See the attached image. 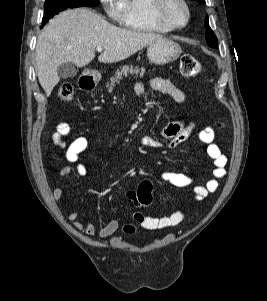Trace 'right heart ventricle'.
Wrapping results in <instances>:
<instances>
[{
    "label": "right heart ventricle",
    "mask_w": 267,
    "mask_h": 301,
    "mask_svg": "<svg viewBox=\"0 0 267 301\" xmlns=\"http://www.w3.org/2000/svg\"><path fill=\"white\" fill-rule=\"evenodd\" d=\"M156 0H123V26L138 32L167 33L171 29L162 24L155 15Z\"/></svg>",
    "instance_id": "right-heart-ventricle-1"
}]
</instances>
